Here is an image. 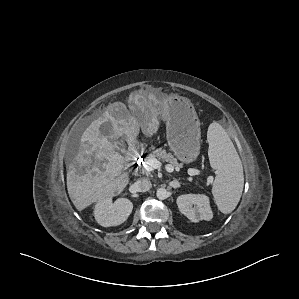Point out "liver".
Returning a JSON list of instances; mask_svg holds the SVG:
<instances>
[{
  "instance_id": "obj_1",
  "label": "liver",
  "mask_w": 299,
  "mask_h": 299,
  "mask_svg": "<svg viewBox=\"0 0 299 299\" xmlns=\"http://www.w3.org/2000/svg\"><path fill=\"white\" fill-rule=\"evenodd\" d=\"M145 103L143 99L138 105L143 108ZM106 122L112 124V139L125 136L133 140L140 128L145 135H153L159 127L153 108L138 112L133 106L127 109L123 103L116 102L86 128L78 153L67 166V190L78 211L121 193L129 183V174L122 173L124 157L100 131Z\"/></svg>"
}]
</instances>
